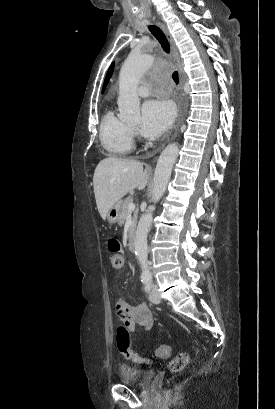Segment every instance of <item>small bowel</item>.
Instances as JSON below:
<instances>
[{
  "label": "small bowel",
  "instance_id": "obj_1",
  "mask_svg": "<svg viewBox=\"0 0 275 409\" xmlns=\"http://www.w3.org/2000/svg\"><path fill=\"white\" fill-rule=\"evenodd\" d=\"M122 302L118 303L116 317L126 325H118L116 327V341L118 352L123 355L125 360H132L133 366H140L141 363H148L146 359L139 357L136 351H132L129 334H135L137 329L149 330L154 326V317L149 305L145 302L137 305L121 306Z\"/></svg>",
  "mask_w": 275,
  "mask_h": 409
}]
</instances>
